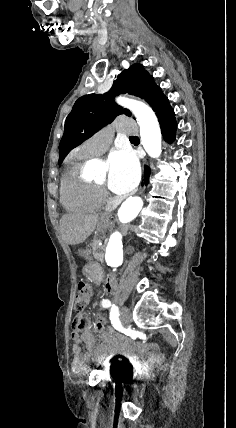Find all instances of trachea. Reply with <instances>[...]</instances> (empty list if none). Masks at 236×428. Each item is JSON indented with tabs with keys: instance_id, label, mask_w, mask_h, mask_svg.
Masks as SVG:
<instances>
[{
	"instance_id": "3493384b",
	"label": "trachea",
	"mask_w": 236,
	"mask_h": 428,
	"mask_svg": "<svg viewBox=\"0 0 236 428\" xmlns=\"http://www.w3.org/2000/svg\"><path fill=\"white\" fill-rule=\"evenodd\" d=\"M130 138L137 139L138 137H130Z\"/></svg>"
}]
</instances>
